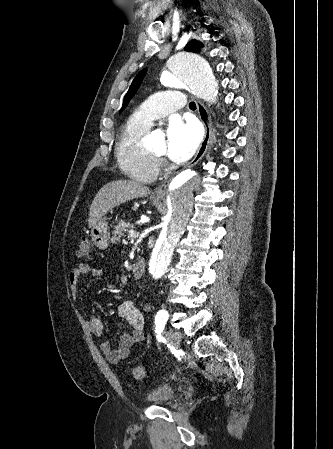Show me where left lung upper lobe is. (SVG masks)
<instances>
[{
    "label": "left lung upper lobe",
    "instance_id": "1",
    "mask_svg": "<svg viewBox=\"0 0 333 449\" xmlns=\"http://www.w3.org/2000/svg\"><path fill=\"white\" fill-rule=\"evenodd\" d=\"M203 45L196 41V40H192L190 41L186 46H185V50L189 51V52H198L199 48H201ZM146 73V70H142L141 72H139L137 74V76L135 77V79L133 80L127 94L125 95L124 101H123V106L121 111L126 107V105L128 104L129 100L132 98V96L134 95V93L137 91V89L139 88L142 79L144 77Z\"/></svg>",
    "mask_w": 333,
    "mask_h": 449
}]
</instances>
